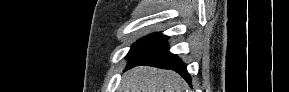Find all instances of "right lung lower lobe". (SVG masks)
<instances>
[{
    "label": "right lung lower lobe",
    "mask_w": 289,
    "mask_h": 92,
    "mask_svg": "<svg viewBox=\"0 0 289 92\" xmlns=\"http://www.w3.org/2000/svg\"><path fill=\"white\" fill-rule=\"evenodd\" d=\"M137 65L154 66L176 71L184 79H186L189 84H191V78L189 76V73L187 72L186 65L177 55L170 53L168 48L151 57L139 59L132 62L127 66V69Z\"/></svg>",
    "instance_id": "98d812e1"
}]
</instances>
